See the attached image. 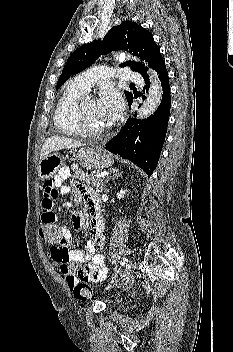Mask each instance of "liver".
I'll list each match as a JSON object with an SVG mask.
<instances>
[{
    "instance_id": "obj_1",
    "label": "liver",
    "mask_w": 233,
    "mask_h": 352,
    "mask_svg": "<svg viewBox=\"0 0 233 352\" xmlns=\"http://www.w3.org/2000/svg\"><path fill=\"white\" fill-rule=\"evenodd\" d=\"M83 145V143L70 138L60 136L48 137L42 146L40 160L49 155L51 152L59 151L61 149L78 148Z\"/></svg>"
}]
</instances>
